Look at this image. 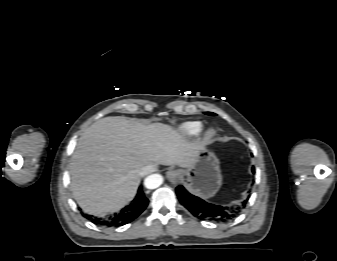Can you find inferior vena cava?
I'll return each mask as SVG.
<instances>
[{
    "label": "inferior vena cava",
    "mask_w": 337,
    "mask_h": 261,
    "mask_svg": "<svg viewBox=\"0 0 337 261\" xmlns=\"http://www.w3.org/2000/svg\"><path fill=\"white\" fill-rule=\"evenodd\" d=\"M153 171H155V168L152 165H148V166H146L142 169L140 175L143 176V175H146V174H148L150 172H153Z\"/></svg>",
    "instance_id": "inferior-vena-cava-1"
}]
</instances>
